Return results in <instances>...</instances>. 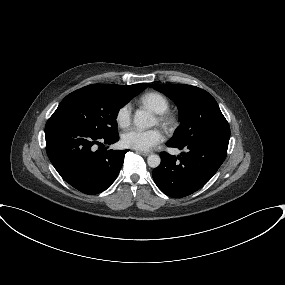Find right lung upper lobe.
<instances>
[{"label": "right lung upper lobe", "instance_id": "1", "mask_svg": "<svg viewBox=\"0 0 285 285\" xmlns=\"http://www.w3.org/2000/svg\"><path fill=\"white\" fill-rule=\"evenodd\" d=\"M148 85L149 84L147 83H140V84L129 85V86H121V85H116V84H93L92 86L102 87V88H106V89L113 90L116 92L129 94L141 86H148Z\"/></svg>", "mask_w": 285, "mask_h": 285}]
</instances>
